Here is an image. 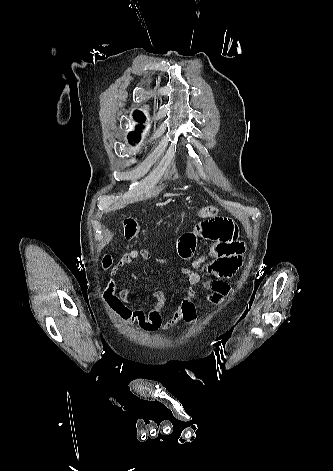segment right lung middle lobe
Returning <instances> with one entry per match:
<instances>
[{
  "mask_svg": "<svg viewBox=\"0 0 333 471\" xmlns=\"http://www.w3.org/2000/svg\"><path fill=\"white\" fill-rule=\"evenodd\" d=\"M140 138H141V135H140V132L138 131L130 132L128 135V140L131 144H133V142L138 143L140 141Z\"/></svg>",
  "mask_w": 333,
  "mask_h": 471,
  "instance_id": "dd1d6c3e",
  "label": "right lung middle lobe"
}]
</instances>
